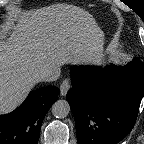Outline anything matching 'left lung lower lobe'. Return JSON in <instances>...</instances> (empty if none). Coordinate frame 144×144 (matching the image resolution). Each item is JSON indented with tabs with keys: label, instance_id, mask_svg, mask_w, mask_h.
Listing matches in <instances>:
<instances>
[{
	"label": "left lung lower lobe",
	"instance_id": "1",
	"mask_svg": "<svg viewBox=\"0 0 144 144\" xmlns=\"http://www.w3.org/2000/svg\"><path fill=\"white\" fill-rule=\"evenodd\" d=\"M67 93L78 144H116L132 130L144 95V62L123 67L74 66Z\"/></svg>",
	"mask_w": 144,
	"mask_h": 144
}]
</instances>
